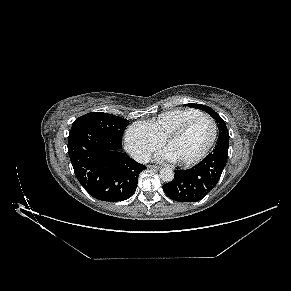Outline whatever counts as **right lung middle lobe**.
Returning a JSON list of instances; mask_svg holds the SVG:
<instances>
[{"instance_id": "right-lung-middle-lobe-1", "label": "right lung middle lobe", "mask_w": 291, "mask_h": 291, "mask_svg": "<svg viewBox=\"0 0 291 291\" xmlns=\"http://www.w3.org/2000/svg\"><path fill=\"white\" fill-rule=\"evenodd\" d=\"M128 125V120L124 118L103 112H91L77 118L71 131L85 127L94 128L121 143L122 134Z\"/></svg>"}]
</instances>
